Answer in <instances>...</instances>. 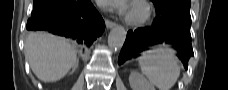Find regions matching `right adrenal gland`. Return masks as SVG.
I'll return each mask as SVG.
<instances>
[{
  "label": "right adrenal gland",
  "mask_w": 228,
  "mask_h": 90,
  "mask_svg": "<svg viewBox=\"0 0 228 90\" xmlns=\"http://www.w3.org/2000/svg\"><path fill=\"white\" fill-rule=\"evenodd\" d=\"M78 61L76 62V65L73 67V69H72V72H75V70L77 69V67H78Z\"/></svg>",
  "instance_id": "obj_1"
}]
</instances>
